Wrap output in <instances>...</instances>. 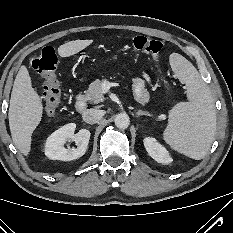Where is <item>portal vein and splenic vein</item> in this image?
I'll list each match as a JSON object with an SVG mask.
<instances>
[{
  "instance_id": "obj_1",
  "label": "portal vein and splenic vein",
  "mask_w": 233,
  "mask_h": 233,
  "mask_svg": "<svg viewBox=\"0 0 233 233\" xmlns=\"http://www.w3.org/2000/svg\"><path fill=\"white\" fill-rule=\"evenodd\" d=\"M110 87H111V84L108 81H105L102 84V91L106 93V92L109 91ZM159 118L160 119H165V116L164 115H160Z\"/></svg>"
}]
</instances>
